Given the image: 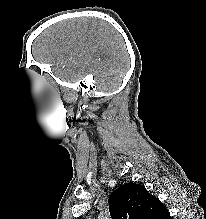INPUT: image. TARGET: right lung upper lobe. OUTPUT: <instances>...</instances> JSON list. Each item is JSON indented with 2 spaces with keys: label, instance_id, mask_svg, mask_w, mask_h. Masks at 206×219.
<instances>
[{
  "label": "right lung upper lobe",
  "instance_id": "1",
  "mask_svg": "<svg viewBox=\"0 0 206 219\" xmlns=\"http://www.w3.org/2000/svg\"><path fill=\"white\" fill-rule=\"evenodd\" d=\"M108 203L112 219H171L159 199L133 182L114 190Z\"/></svg>",
  "mask_w": 206,
  "mask_h": 219
}]
</instances>
